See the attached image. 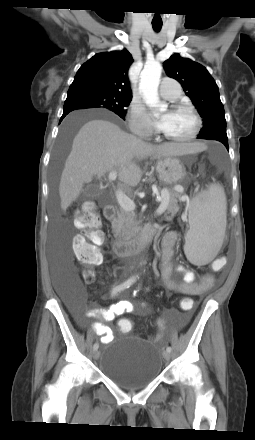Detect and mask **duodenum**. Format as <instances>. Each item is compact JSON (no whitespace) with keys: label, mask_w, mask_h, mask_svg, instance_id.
Listing matches in <instances>:
<instances>
[{"label":"duodenum","mask_w":255,"mask_h":440,"mask_svg":"<svg viewBox=\"0 0 255 440\" xmlns=\"http://www.w3.org/2000/svg\"><path fill=\"white\" fill-rule=\"evenodd\" d=\"M116 210L112 204L104 207V216L108 220L115 217ZM159 229L156 226H147L132 240L116 239L113 244L114 252L119 257L131 256L143 251L157 236Z\"/></svg>","instance_id":"obj_1"}]
</instances>
